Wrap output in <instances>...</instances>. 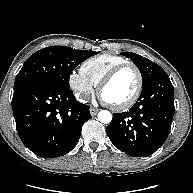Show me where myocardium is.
Returning a JSON list of instances; mask_svg holds the SVG:
<instances>
[{
    "label": "myocardium",
    "mask_w": 193,
    "mask_h": 193,
    "mask_svg": "<svg viewBox=\"0 0 193 193\" xmlns=\"http://www.w3.org/2000/svg\"><path fill=\"white\" fill-rule=\"evenodd\" d=\"M126 68H132L134 69V71L137 74V87L135 92L133 93V95L124 103L122 104H118V105H114V104H109L108 105L115 111H124L127 110L129 108H131L139 99L142 89H143V76L141 73V70L138 68L137 65H135L132 62H126V63H122L116 67H114L113 69H111L103 78L102 80L99 82L98 84V92L101 95L103 89L114 79V77L121 72L122 70L126 69Z\"/></svg>",
    "instance_id": "obj_1"
}]
</instances>
